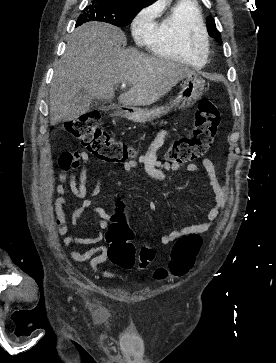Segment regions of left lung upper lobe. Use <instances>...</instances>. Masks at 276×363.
I'll list each match as a JSON object with an SVG mask.
<instances>
[{"mask_svg": "<svg viewBox=\"0 0 276 363\" xmlns=\"http://www.w3.org/2000/svg\"><path fill=\"white\" fill-rule=\"evenodd\" d=\"M207 28L209 34L214 37L217 42L222 43L220 32L216 29L214 19L211 17L207 19Z\"/></svg>", "mask_w": 276, "mask_h": 363, "instance_id": "5c2ea615", "label": "left lung upper lobe"}]
</instances>
